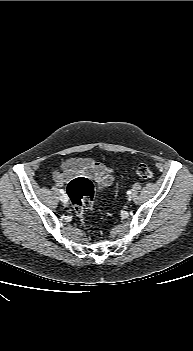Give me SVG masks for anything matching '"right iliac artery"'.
<instances>
[{"label":"right iliac artery","instance_id":"1","mask_svg":"<svg viewBox=\"0 0 193 351\" xmlns=\"http://www.w3.org/2000/svg\"><path fill=\"white\" fill-rule=\"evenodd\" d=\"M60 193H61V194H64L65 191H64L63 189H60Z\"/></svg>","mask_w":193,"mask_h":351}]
</instances>
